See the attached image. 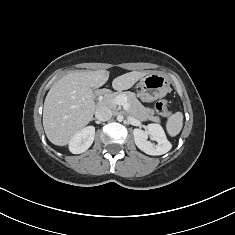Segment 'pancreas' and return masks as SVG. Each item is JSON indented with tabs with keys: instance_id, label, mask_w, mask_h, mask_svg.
<instances>
[{
	"instance_id": "pancreas-1",
	"label": "pancreas",
	"mask_w": 235,
	"mask_h": 235,
	"mask_svg": "<svg viewBox=\"0 0 235 235\" xmlns=\"http://www.w3.org/2000/svg\"><path fill=\"white\" fill-rule=\"evenodd\" d=\"M119 95H123L127 98V102L129 104V110L128 113L141 120V121H146L150 120L153 122H160V117L159 116H154V111L151 110L150 108L144 107L139 100L136 98L135 93L133 92H115L108 94L105 98V102L107 103L108 106L111 108H116V105L112 103V101Z\"/></svg>"
}]
</instances>
